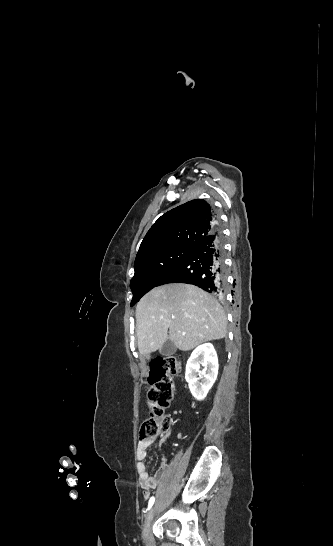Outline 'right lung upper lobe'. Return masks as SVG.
I'll return each instance as SVG.
<instances>
[{
	"label": "right lung upper lobe",
	"instance_id": "cb5924a9",
	"mask_svg": "<svg viewBox=\"0 0 333 546\" xmlns=\"http://www.w3.org/2000/svg\"><path fill=\"white\" fill-rule=\"evenodd\" d=\"M217 227L216 214L203 199L191 200L157 219L144 237L135 264L173 247H193Z\"/></svg>",
	"mask_w": 333,
	"mask_h": 546
}]
</instances>
